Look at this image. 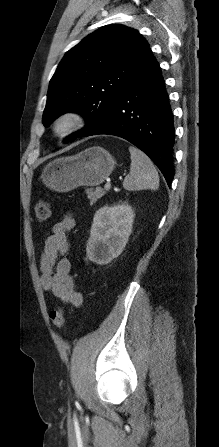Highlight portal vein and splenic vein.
Here are the masks:
<instances>
[{
  "label": "portal vein and splenic vein",
  "mask_w": 219,
  "mask_h": 447,
  "mask_svg": "<svg viewBox=\"0 0 219 447\" xmlns=\"http://www.w3.org/2000/svg\"><path fill=\"white\" fill-rule=\"evenodd\" d=\"M104 188L106 190H109L111 188V183L110 182H106L105 185H104Z\"/></svg>",
  "instance_id": "obj_1"
}]
</instances>
